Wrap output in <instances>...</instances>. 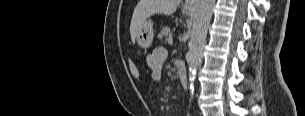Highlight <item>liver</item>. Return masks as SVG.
<instances>
[{"label":"liver","instance_id":"1","mask_svg":"<svg viewBox=\"0 0 305 116\" xmlns=\"http://www.w3.org/2000/svg\"><path fill=\"white\" fill-rule=\"evenodd\" d=\"M180 2L181 0H140L134 9L130 24L132 42H135L147 18L155 14L171 15L176 11Z\"/></svg>","mask_w":305,"mask_h":116}]
</instances>
